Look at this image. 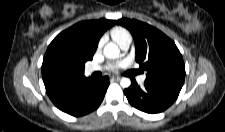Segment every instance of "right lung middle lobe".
Returning a JSON list of instances; mask_svg holds the SVG:
<instances>
[{"label":"right lung middle lobe","instance_id":"1","mask_svg":"<svg viewBox=\"0 0 225 132\" xmlns=\"http://www.w3.org/2000/svg\"><path fill=\"white\" fill-rule=\"evenodd\" d=\"M53 61L59 67H66L72 64V61L63 54H56L53 58Z\"/></svg>","mask_w":225,"mask_h":132}]
</instances>
